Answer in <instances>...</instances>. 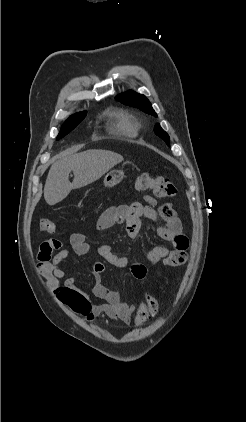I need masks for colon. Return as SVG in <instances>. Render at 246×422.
<instances>
[{"mask_svg":"<svg viewBox=\"0 0 246 422\" xmlns=\"http://www.w3.org/2000/svg\"><path fill=\"white\" fill-rule=\"evenodd\" d=\"M136 187L140 190H152L158 197H173L177 190L174 184L162 177L153 176L144 172L139 175ZM56 225L53 220L44 218L40 223V230L43 233L52 234L55 232ZM187 253L184 250H173L165 258L164 263L168 266H179L186 262ZM143 279V278H142ZM159 311L158 301L151 295L149 290H143L135 315V324L137 326L145 323L150 318L156 316Z\"/></svg>","mask_w":246,"mask_h":422,"instance_id":"obj_1","label":"colon"}]
</instances>
